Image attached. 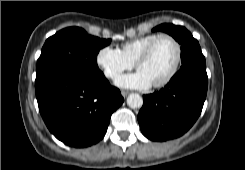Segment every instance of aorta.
<instances>
[{"label":"aorta","mask_w":245,"mask_h":170,"mask_svg":"<svg viewBox=\"0 0 245 170\" xmlns=\"http://www.w3.org/2000/svg\"><path fill=\"white\" fill-rule=\"evenodd\" d=\"M127 104L130 108H140L143 105L142 97L137 93H132L127 97Z\"/></svg>","instance_id":"762f6f07"}]
</instances>
